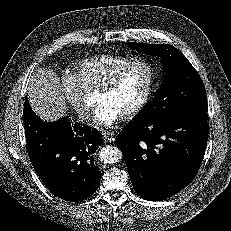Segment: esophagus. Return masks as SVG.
<instances>
[{
  "mask_svg": "<svg viewBox=\"0 0 231 231\" xmlns=\"http://www.w3.org/2000/svg\"><path fill=\"white\" fill-rule=\"evenodd\" d=\"M103 138L105 143H111L115 140V134L113 132H105Z\"/></svg>",
  "mask_w": 231,
  "mask_h": 231,
  "instance_id": "1",
  "label": "esophagus"
}]
</instances>
